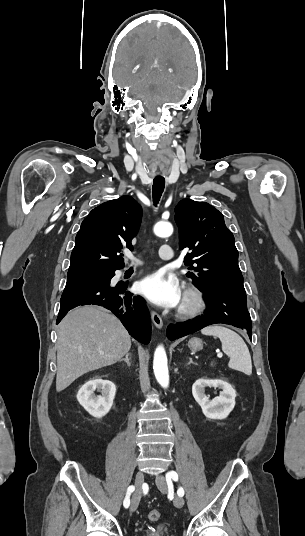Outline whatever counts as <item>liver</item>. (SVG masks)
Listing matches in <instances>:
<instances>
[{
	"label": "liver",
	"mask_w": 305,
	"mask_h": 536,
	"mask_svg": "<svg viewBox=\"0 0 305 536\" xmlns=\"http://www.w3.org/2000/svg\"><path fill=\"white\" fill-rule=\"evenodd\" d=\"M131 348L120 320L99 306H80L58 326L56 390L74 380L121 360Z\"/></svg>",
	"instance_id": "liver-1"
}]
</instances>
